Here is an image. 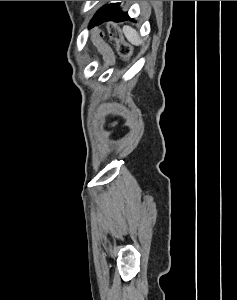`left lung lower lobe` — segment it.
<instances>
[{"label": "left lung lower lobe", "mask_w": 237, "mask_h": 300, "mask_svg": "<svg viewBox=\"0 0 237 300\" xmlns=\"http://www.w3.org/2000/svg\"><path fill=\"white\" fill-rule=\"evenodd\" d=\"M128 19L127 13H123L119 9V4H109L106 6L102 12L95 17L91 23H90V28L97 26L105 21H114V22H121Z\"/></svg>", "instance_id": "obj_1"}]
</instances>
